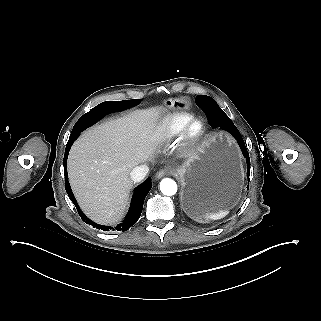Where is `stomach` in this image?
<instances>
[{
    "label": "stomach",
    "instance_id": "0dacf381",
    "mask_svg": "<svg viewBox=\"0 0 321 321\" xmlns=\"http://www.w3.org/2000/svg\"><path fill=\"white\" fill-rule=\"evenodd\" d=\"M167 104L185 106L178 98ZM177 177L182 185V207L193 220H198L201 212H219L235 205L243 186V167L236 143L225 133L207 139L178 170Z\"/></svg>",
    "mask_w": 321,
    "mask_h": 321
}]
</instances>
